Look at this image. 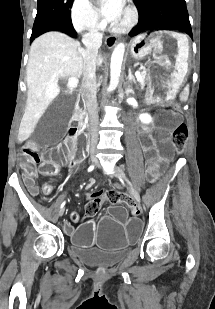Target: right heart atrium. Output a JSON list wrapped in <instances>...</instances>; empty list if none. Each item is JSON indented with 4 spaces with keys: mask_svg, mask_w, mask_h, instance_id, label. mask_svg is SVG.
Instances as JSON below:
<instances>
[{
    "mask_svg": "<svg viewBox=\"0 0 215 309\" xmlns=\"http://www.w3.org/2000/svg\"><path fill=\"white\" fill-rule=\"evenodd\" d=\"M72 28L80 34H88L101 28L100 14H96L89 0H74Z\"/></svg>",
    "mask_w": 215,
    "mask_h": 309,
    "instance_id": "d8ad5b80",
    "label": "right heart atrium"
}]
</instances>
